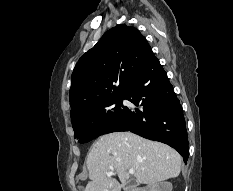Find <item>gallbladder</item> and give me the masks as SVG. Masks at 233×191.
<instances>
[{
    "label": "gallbladder",
    "mask_w": 233,
    "mask_h": 191,
    "mask_svg": "<svg viewBox=\"0 0 233 191\" xmlns=\"http://www.w3.org/2000/svg\"><path fill=\"white\" fill-rule=\"evenodd\" d=\"M128 185H129V186H133V185H135V182H134L133 180H130V181L128 182Z\"/></svg>",
    "instance_id": "bac80fb5"
}]
</instances>
